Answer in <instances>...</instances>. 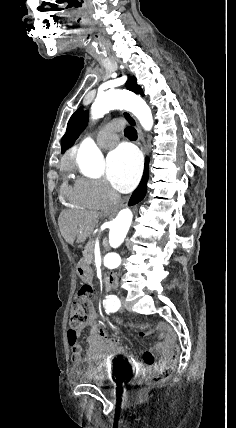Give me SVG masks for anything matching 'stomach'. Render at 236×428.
Returning <instances> with one entry per match:
<instances>
[{
	"mask_svg": "<svg viewBox=\"0 0 236 428\" xmlns=\"http://www.w3.org/2000/svg\"><path fill=\"white\" fill-rule=\"evenodd\" d=\"M93 272V265L86 263L81 264L77 267L78 278L81 280L84 286H89L90 283L95 282V275L91 274Z\"/></svg>",
	"mask_w": 236,
	"mask_h": 428,
	"instance_id": "obj_1",
	"label": "stomach"
}]
</instances>
